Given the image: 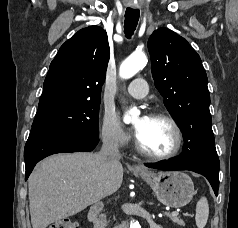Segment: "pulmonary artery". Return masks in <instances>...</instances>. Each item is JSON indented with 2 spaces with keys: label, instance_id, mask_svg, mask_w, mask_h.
<instances>
[{
  "label": "pulmonary artery",
  "instance_id": "e3ab8cb5",
  "mask_svg": "<svg viewBox=\"0 0 238 228\" xmlns=\"http://www.w3.org/2000/svg\"><path fill=\"white\" fill-rule=\"evenodd\" d=\"M127 94L130 96L142 99L147 94V82L143 78L134 79L126 88Z\"/></svg>",
  "mask_w": 238,
  "mask_h": 228
}]
</instances>
